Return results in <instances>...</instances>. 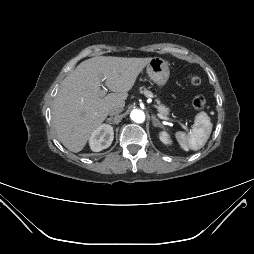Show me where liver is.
I'll return each instance as SVG.
<instances>
[{"label": "liver", "instance_id": "liver-1", "mask_svg": "<svg viewBox=\"0 0 254 254\" xmlns=\"http://www.w3.org/2000/svg\"><path fill=\"white\" fill-rule=\"evenodd\" d=\"M152 58L97 56L65 77L53 104V126L60 142L80 152L113 106H125L128 91ZM113 91L100 96V81Z\"/></svg>", "mask_w": 254, "mask_h": 254}]
</instances>
